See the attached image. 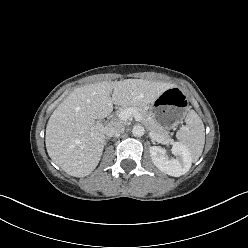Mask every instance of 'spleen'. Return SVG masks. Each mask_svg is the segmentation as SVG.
Instances as JSON below:
<instances>
[{"label":"spleen","instance_id":"spleen-1","mask_svg":"<svg viewBox=\"0 0 248 248\" xmlns=\"http://www.w3.org/2000/svg\"><path fill=\"white\" fill-rule=\"evenodd\" d=\"M186 125L176 134L181 144L191 153L193 161L201 156L205 143V128L201 118L194 110H190L185 118Z\"/></svg>","mask_w":248,"mask_h":248}]
</instances>
